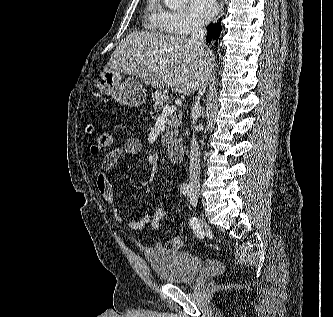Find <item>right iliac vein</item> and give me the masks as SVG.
<instances>
[{
	"label": "right iliac vein",
	"mask_w": 333,
	"mask_h": 317,
	"mask_svg": "<svg viewBox=\"0 0 333 317\" xmlns=\"http://www.w3.org/2000/svg\"><path fill=\"white\" fill-rule=\"evenodd\" d=\"M194 194V197L196 198V199H198V195H197V193H193ZM205 227H206V224H205Z\"/></svg>",
	"instance_id": "1"
}]
</instances>
